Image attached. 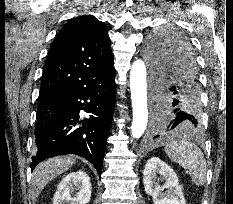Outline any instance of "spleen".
Instances as JSON below:
<instances>
[{
  "label": "spleen",
  "mask_w": 233,
  "mask_h": 204,
  "mask_svg": "<svg viewBox=\"0 0 233 204\" xmlns=\"http://www.w3.org/2000/svg\"><path fill=\"white\" fill-rule=\"evenodd\" d=\"M165 152L175 163L191 172L192 183L202 186L207 180V167L202 151L186 139L174 140L165 146Z\"/></svg>",
  "instance_id": "3e777b00"
}]
</instances>
